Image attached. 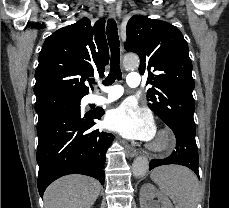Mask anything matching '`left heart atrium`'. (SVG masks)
<instances>
[{"label":"left heart atrium","mask_w":229,"mask_h":208,"mask_svg":"<svg viewBox=\"0 0 229 208\" xmlns=\"http://www.w3.org/2000/svg\"><path fill=\"white\" fill-rule=\"evenodd\" d=\"M104 125L128 139L148 141L153 138L155 127L152 115L133 100H126L109 111Z\"/></svg>","instance_id":"obj_1"}]
</instances>
